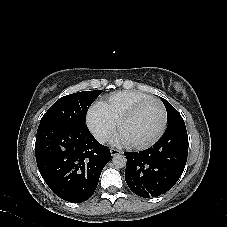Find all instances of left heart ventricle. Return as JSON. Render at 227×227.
<instances>
[{
	"mask_svg": "<svg viewBox=\"0 0 227 227\" xmlns=\"http://www.w3.org/2000/svg\"><path fill=\"white\" fill-rule=\"evenodd\" d=\"M162 124V109L156 102L145 104L137 114L121 129L130 144L143 143L150 140Z\"/></svg>",
	"mask_w": 227,
	"mask_h": 227,
	"instance_id": "obj_1",
	"label": "left heart ventricle"
}]
</instances>
